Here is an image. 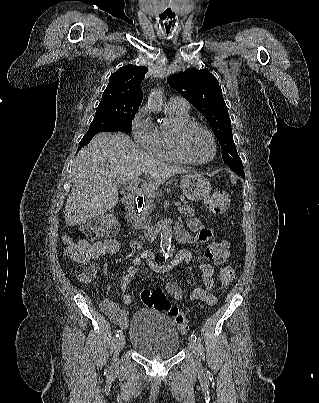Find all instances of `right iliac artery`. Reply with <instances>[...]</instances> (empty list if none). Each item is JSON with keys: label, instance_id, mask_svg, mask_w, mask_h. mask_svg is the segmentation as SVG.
<instances>
[{"label": "right iliac artery", "instance_id": "obj_1", "mask_svg": "<svg viewBox=\"0 0 319 403\" xmlns=\"http://www.w3.org/2000/svg\"><path fill=\"white\" fill-rule=\"evenodd\" d=\"M122 334H123L122 330H117L115 336L118 338V337L121 336Z\"/></svg>", "mask_w": 319, "mask_h": 403}]
</instances>
